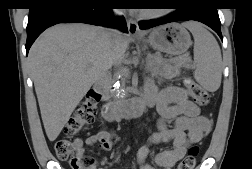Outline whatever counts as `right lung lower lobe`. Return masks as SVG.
Instances as JSON below:
<instances>
[{
	"label": "right lung lower lobe",
	"instance_id": "right-lung-lower-lobe-1",
	"mask_svg": "<svg viewBox=\"0 0 252 169\" xmlns=\"http://www.w3.org/2000/svg\"><path fill=\"white\" fill-rule=\"evenodd\" d=\"M115 0H37L30 8L27 25L26 54L36 38L58 23H87L120 28L127 32L125 19L115 26L112 6Z\"/></svg>",
	"mask_w": 252,
	"mask_h": 169
}]
</instances>
